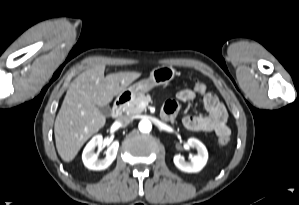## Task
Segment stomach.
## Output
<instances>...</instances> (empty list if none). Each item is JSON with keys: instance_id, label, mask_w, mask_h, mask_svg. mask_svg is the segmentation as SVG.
<instances>
[{"instance_id": "0dacf381", "label": "stomach", "mask_w": 299, "mask_h": 205, "mask_svg": "<svg viewBox=\"0 0 299 205\" xmlns=\"http://www.w3.org/2000/svg\"><path fill=\"white\" fill-rule=\"evenodd\" d=\"M176 74L177 71L172 66H158L151 71L148 78L142 79L125 89L120 93L119 97L133 100L137 96L145 94L157 86L168 84L174 79Z\"/></svg>"}]
</instances>
